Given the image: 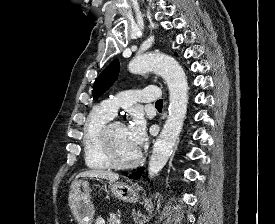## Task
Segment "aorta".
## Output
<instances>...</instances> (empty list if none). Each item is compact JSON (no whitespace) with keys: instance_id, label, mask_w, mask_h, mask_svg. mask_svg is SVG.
I'll return each mask as SVG.
<instances>
[{"instance_id":"762f6f07","label":"aorta","mask_w":275,"mask_h":224,"mask_svg":"<svg viewBox=\"0 0 275 224\" xmlns=\"http://www.w3.org/2000/svg\"><path fill=\"white\" fill-rule=\"evenodd\" d=\"M130 72L154 71L161 75L169 89V114L165 125L156 139L148 164L152 177L167 163L183 127L188 104V83L183 68L167 55L145 54L135 57L128 65Z\"/></svg>"}]
</instances>
